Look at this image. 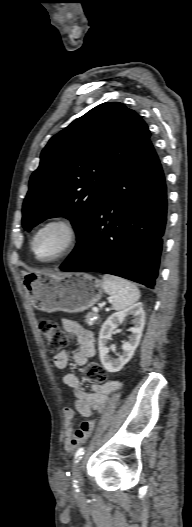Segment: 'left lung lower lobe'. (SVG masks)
<instances>
[{"label": "left lung lower lobe", "mask_w": 192, "mask_h": 527, "mask_svg": "<svg viewBox=\"0 0 192 527\" xmlns=\"http://www.w3.org/2000/svg\"><path fill=\"white\" fill-rule=\"evenodd\" d=\"M167 217L165 177L149 141L108 188L63 271H98L154 288Z\"/></svg>", "instance_id": "obj_1"}]
</instances>
